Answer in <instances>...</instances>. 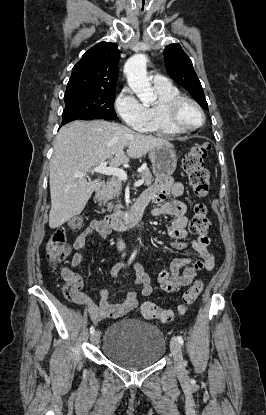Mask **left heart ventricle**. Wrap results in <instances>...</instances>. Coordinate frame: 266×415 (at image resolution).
<instances>
[{
    "label": "left heart ventricle",
    "mask_w": 266,
    "mask_h": 415,
    "mask_svg": "<svg viewBox=\"0 0 266 415\" xmlns=\"http://www.w3.org/2000/svg\"><path fill=\"white\" fill-rule=\"evenodd\" d=\"M179 115L182 122L190 126L198 125L202 121L199 111L189 103L182 105Z\"/></svg>",
    "instance_id": "b2bd125f"
}]
</instances>
